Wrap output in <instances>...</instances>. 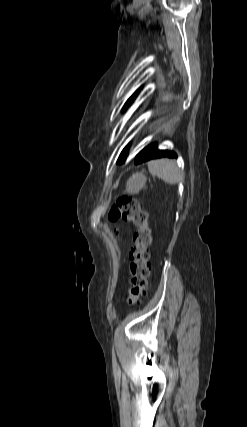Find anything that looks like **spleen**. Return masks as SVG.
Masks as SVG:
<instances>
[{"label": "spleen", "instance_id": "1", "mask_svg": "<svg viewBox=\"0 0 247 427\" xmlns=\"http://www.w3.org/2000/svg\"><path fill=\"white\" fill-rule=\"evenodd\" d=\"M149 172L168 184H177L182 180V173L173 160L161 159L148 164Z\"/></svg>", "mask_w": 247, "mask_h": 427}]
</instances>
